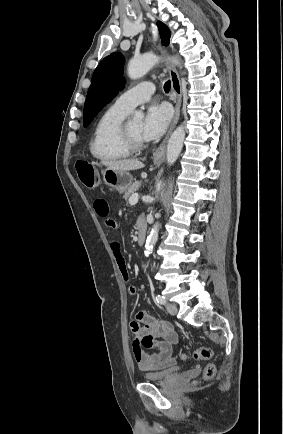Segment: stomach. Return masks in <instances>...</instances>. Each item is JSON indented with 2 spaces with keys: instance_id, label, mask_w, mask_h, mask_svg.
<instances>
[{
  "instance_id": "0dacf381",
  "label": "stomach",
  "mask_w": 283,
  "mask_h": 434,
  "mask_svg": "<svg viewBox=\"0 0 283 434\" xmlns=\"http://www.w3.org/2000/svg\"><path fill=\"white\" fill-rule=\"evenodd\" d=\"M154 162L158 164L160 161L155 159ZM102 174L105 184L114 188L120 194L126 192L133 181L132 175L127 171H118L106 168L103 170Z\"/></svg>"
}]
</instances>
